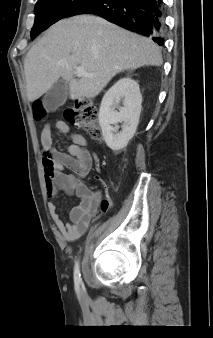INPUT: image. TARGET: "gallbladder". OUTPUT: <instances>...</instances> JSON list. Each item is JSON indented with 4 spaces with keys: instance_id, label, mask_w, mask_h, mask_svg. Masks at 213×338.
I'll return each mask as SVG.
<instances>
[{
    "instance_id": "gallbladder-1",
    "label": "gallbladder",
    "mask_w": 213,
    "mask_h": 338,
    "mask_svg": "<svg viewBox=\"0 0 213 338\" xmlns=\"http://www.w3.org/2000/svg\"><path fill=\"white\" fill-rule=\"evenodd\" d=\"M67 97V82L63 79H59L44 95L42 99V105L46 111L52 112L58 107L62 106L65 103Z\"/></svg>"
}]
</instances>
